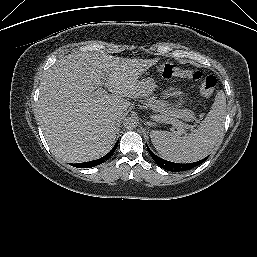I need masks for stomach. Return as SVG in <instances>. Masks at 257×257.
Instances as JSON below:
<instances>
[{"instance_id":"stomach-1","label":"stomach","mask_w":257,"mask_h":257,"mask_svg":"<svg viewBox=\"0 0 257 257\" xmlns=\"http://www.w3.org/2000/svg\"><path fill=\"white\" fill-rule=\"evenodd\" d=\"M156 88L157 84L152 78H147L139 82V91L141 96H148L152 94Z\"/></svg>"}]
</instances>
